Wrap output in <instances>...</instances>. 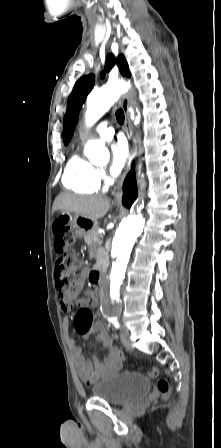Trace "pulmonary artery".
I'll return each instance as SVG.
<instances>
[{"instance_id": "pulmonary-artery-1", "label": "pulmonary artery", "mask_w": 221, "mask_h": 448, "mask_svg": "<svg viewBox=\"0 0 221 448\" xmlns=\"http://www.w3.org/2000/svg\"><path fill=\"white\" fill-rule=\"evenodd\" d=\"M94 133L105 140H110L114 135V129L109 127L106 122H100L95 126Z\"/></svg>"}]
</instances>
